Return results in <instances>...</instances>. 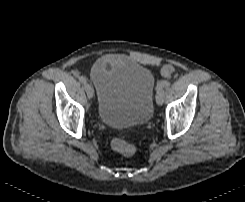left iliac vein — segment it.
Masks as SVG:
<instances>
[{"instance_id": "obj_1", "label": "left iliac vein", "mask_w": 245, "mask_h": 202, "mask_svg": "<svg viewBox=\"0 0 245 202\" xmlns=\"http://www.w3.org/2000/svg\"><path fill=\"white\" fill-rule=\"evenodd\" d=\"M156 102L158 105H162L164 102V90L163 88L159 90V92L156 95Z\"/></svg>"}]
</instances>
